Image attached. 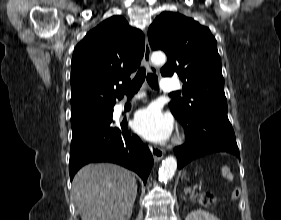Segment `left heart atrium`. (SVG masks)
<instances>
[{
    "mask_svg": "<svg viewBox=\"0 0 281 220\" xmlns=\"http://www.w3.org/2000/svg\"><path fill=\"white\" fill-rule=\"evenodd\" d=\"M133 128L146 140L160 143L171 136L173 120L157 105L152 104L136 113Z\"/></svg>",
    "mask_w": 281,
    "mask_h": 220,
    "instance_id": "1",
    "label": "left heart atrium"
}]
</instances>
